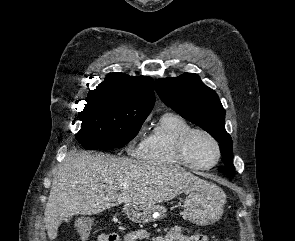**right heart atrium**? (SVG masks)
<instances>
[{
  "mask_svg": "<svg viewBox=\"0 0 295 241\" xmlns=\"http://www.w3.org/2000/svg\"><path fill=\"white\" fill-rule=\"evenodd\" d=\"M142 129H143V127H141L139 131L141 132V131H142Z\"/></svg>",
  "mask_w": 295,
  "mask_h": 241,
  "instance_id": "right-heart-atrium-1",
  "label": "right heart atrium"
}]
</instances>
